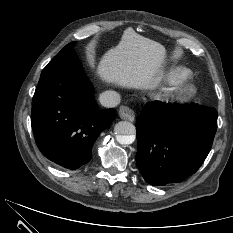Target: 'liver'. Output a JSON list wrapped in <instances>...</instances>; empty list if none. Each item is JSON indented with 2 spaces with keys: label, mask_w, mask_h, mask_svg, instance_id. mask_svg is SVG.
<instances>
[{
  "label": "liver",
  "mask_w": 233,
  "mask_h": 233,
  "mask_svg": "<svg viewBox=\"0 0 233 233\" xmlns=\"http://www.w3.org/2000/svg\"><path fill=\"white\" fill-rule=\"evenodd\" d=\"M166 51L160 43L127 30L97 67L100 78L128 89H150L159 80Z\"/></svg>",
  "instance_id": "6515ba94"
}]
</instances>
